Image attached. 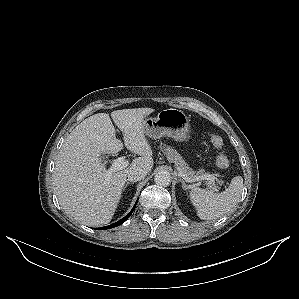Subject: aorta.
<instances>
[{
	"label": "aorta",
	"instance_id": "aorta-1",
	"mask_svg": "<svg viewBox=\"0 0 299 299\" xmlns=\"http://www.w3.org/2000/svg\"><path fill=\"white\" fill-rule=\"evenodd\" d=\"M154 180L157 185L167 187L171 183V175L168 171L160 170L155 174Z\"/></svg>",
	"mask_w": 299,
	"mask_h": 299
}]
</instances>
